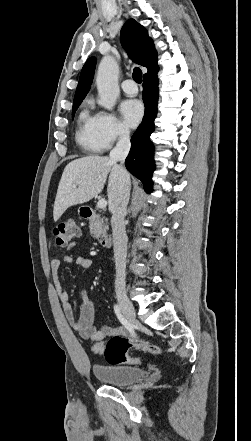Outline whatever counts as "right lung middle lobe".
<instances>
[{
    "instance_id": "obj_1",
    "label": "right lung middle lobe",
    "mask_w": 251,
    "mask_h": 441,
    "mask_svg": "<svg viewBox=\"0 0 251 441\" xmlns=\"http://www.w3.org/2000/svg\"><path fill=\"white\" fill-rule=\"evenodd\" d=\"M81 102H82V100L75 101V102L73 103V113H72V116H73V117H74L75 111L77 110V108L79 107V105L81 104Z\"/></svg>"
}]
</instances>
